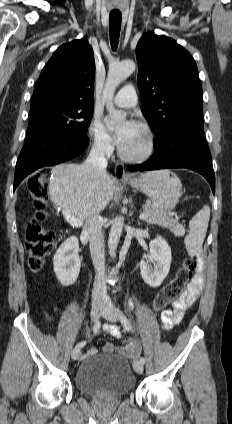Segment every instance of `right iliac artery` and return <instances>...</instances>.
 I'll list each match as a JSON object with an SVG mask.
<instances>
[{
    "label": "right iliac artery",
    "mask_w": 232,
    "mask_h": 424,
    "mask_svg": "<svg viewBox=\"0 0 232 424\" xmlns=\"http://www.w3.org/2000/svg\"><path fill=\"white\" fill-rule=\"evenodd\" d=\"M100 327H101V322L100 321H96L95 322V324H94V326H93V331H94V333H97L98 331H99V329H100ZM86 344V342L85 341H82V342H79L77 345H76V347H83L84 345Z\"/></svg>",
    "instance_id": "1"
}]
</instances>
